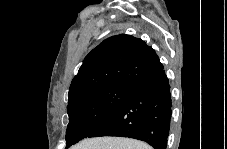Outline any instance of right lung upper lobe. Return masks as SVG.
I'll list each match as a JSON object with an SVG mask.
<instances>
[{"instance_id": "cb5924a9", "label": "right lung upper lobe", "mask_w": 227, "mask_h": 149, "mask_svg": "<svg viewBox=\"0 0 227 149\" xmlns=\"http://www.w3.org/2000/svg\"><path fill=\"white\" fill-rule=\"evenodd\" d=\"M162 69L157 54L143 40L126 34L112 36L84 59L69 88V105L106 85L122 84L134 88Z\"/></svg>"}]
</instances>
